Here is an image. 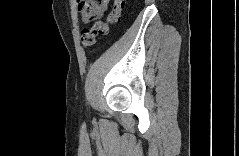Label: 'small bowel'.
I'll list each match as a JSON object with an SVG mask.
<instances>
[{"label":"small bowel","instance_id":"c3829d8e","mask_svg":"<svg viewBox=\"0 0 239 156\" xmlns=\"http://www.w3.org/2000/svg\"><path fill=\"white\" fill-rule=\"evenodd\" d=\"M76 5L82 21L88 24L105 15L108 9V0H76Z\"/></svg>","mask_w":239,"mask_h":156}]
</instances>
